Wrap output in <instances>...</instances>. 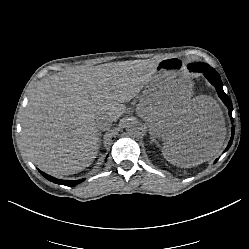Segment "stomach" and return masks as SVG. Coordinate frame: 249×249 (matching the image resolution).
<instances>
[{"instance_id": "obj_1", "label": "stomach", "mask_w": 249, "mask_h": 249, "mask_svg": "<svg viewBox=\"0 0 249 249\" xmlns=\"http://www.w3.org/2000/svg\"><path fill=\"white\" fill-rule=\"evenodd\" d=\"M162 86V87H159ZM193 81L178 58H165L156 65V73L143 94V116L158 135H171L183 122L190 106Z\"/></svg>"}]
</instances>
